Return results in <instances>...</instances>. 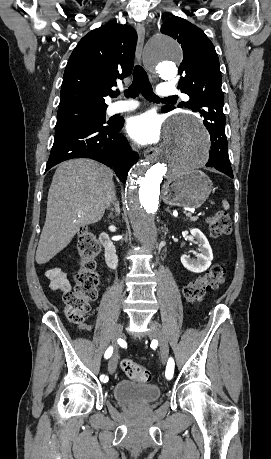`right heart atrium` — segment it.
<instances>
[{
  "mask_svg": "<svg viewBox=\"0 0 271 459\" xmlns=\"http://www.w3.org/2000/svg\"><path fill=\"white\" fill-rule=\"evenodd\" d=\"M127 149L129 151H134V147L132 145H130V144H127Z\"/></svg>",
  "mask_w": 271,
  "mask_h": 459,
  "instance_id": "1",
  "label": "right heart atrium"
}]
</instances>
